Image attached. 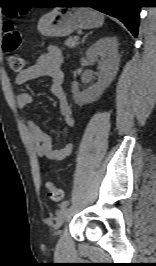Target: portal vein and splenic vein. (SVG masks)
I'll return each mask as SVG.
<instances>
[{
  "label": "portal vein and splenic vein",
  "mask_w": 156,
  "mask_h": 266,
  "mask_svg": "<svg viewBox=\"0 0 156 266\" xmlns=\"http://www.w3.org/2000/svg\"><path fill=\"white\" fill-rule=\"evenodd\" d=\"M76 39H79V37H78V36H76Z\"/></svg>",
  "instance_id": "1"
}]
</instances>
